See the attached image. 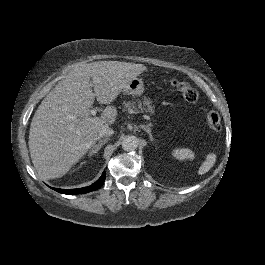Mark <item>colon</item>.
Wrapping results in <instances>:
<instances>
[{"label": "colon", "instance_id": "colon-1", "mask_svg": "<svg viewBox=\"0 0 265 265\" xmlns=\"http://www.w3.org/2000/svg\"><path fill=\"white\" fill-rule=\"evenodd\" d=\"M169 85L179 91L184 99L190 103H196L199 98L197 90L188 82L181 80H170ZM207 125L211 130L219 131L221 128V118L216 111H210L207 114Z\"/></svg>", "mask_w": 265, "mask_h": 265}]
</instances>
